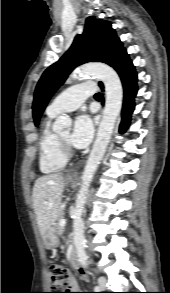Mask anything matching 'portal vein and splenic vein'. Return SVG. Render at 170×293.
Returning a JSON list of instances; mask_svg holds the SVG:
<instances>
[{
    "label": "portal vein and splenic vein",
    "instance_id": "portal-vein-and-splenic-vein-1",
    "mask_svg": "<svg viewBox=\"0 0 170 293\" xmlns=\"http://www.w3.org/2000/svg\"><path fill=\"white\" fill-rule=\"evenodd\" d=\"M59 225L61 227H64L66 225V220L65 219H61L60 222H59Z\"/></svg>",
    "mask_w": 170,
    "mask_h": 293
}]
</instances>
